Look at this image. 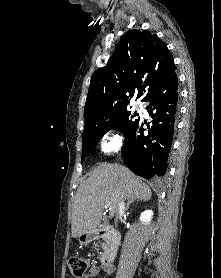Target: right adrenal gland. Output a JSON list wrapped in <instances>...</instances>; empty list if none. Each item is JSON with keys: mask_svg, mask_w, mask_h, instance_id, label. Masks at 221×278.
<instances>
[{"mask_svg": "<svg viewBox=\"0 0 221 278\" xmlns=\"http://www.w3.org/2000/svg\"><path fill=\"white\" fill-rule=\"evenodd\" d=\"M133 202H134V200H128L127 204H126V208L129 209L130 204L133 203Z\"/></svg>", "mask_w": 221, "mask_h": 278, "instance_id": "right-adrenal-gland-1", "label": "right adrenal gland"}]
</instances>
